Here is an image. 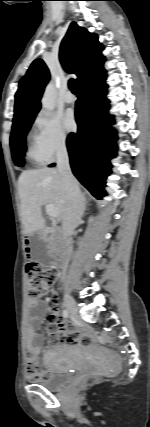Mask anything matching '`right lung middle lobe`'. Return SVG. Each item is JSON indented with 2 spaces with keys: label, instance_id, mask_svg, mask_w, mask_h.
<instances>
[{
  "label": "right lung middle lobe",
  "instance_id": "right-lung-middle-lobe-1",
  "mask_svg": "<svg viewBox=\"0 0 150 427\" xmlns=\"http://www.w3.org/2000/svg\"><path fill=\"white\" fill-rule=\"evenodd\" d=\"M35 116L13 123L10 137L12 158L17 166L24 165V153L26 151L25 137Z\"/></svg>",
  "mask_w": 150,
  "mask_h": 427
}]
</instances>
